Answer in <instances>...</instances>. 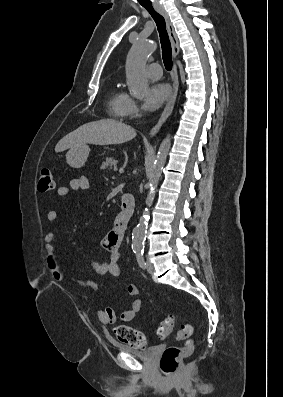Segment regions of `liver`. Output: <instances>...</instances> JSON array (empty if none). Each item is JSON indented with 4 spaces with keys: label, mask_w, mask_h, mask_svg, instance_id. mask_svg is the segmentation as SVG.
Listing matches in <instances>:
<instances>
[{
    "label": "liver",
    "mask_w": 283,
    "mask_h": 397,
    "mask_svg": "<svg viewBox=\"0 0 283 397\" xmlns=\"http://www.w3.org/2000/svg\"><path fill=\"white\" fill-rule=\"evenodd\" d=\"M136 136L131 126L113 119H101L86 123L64 136L56 145L55 152H62L82 144H122Z\"/></svg>",
    "instance_id": "1"
}]
</instances>
